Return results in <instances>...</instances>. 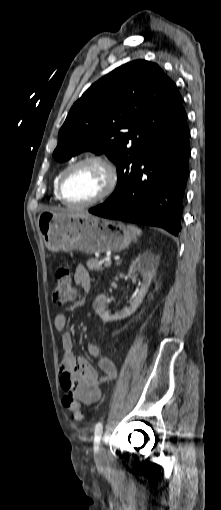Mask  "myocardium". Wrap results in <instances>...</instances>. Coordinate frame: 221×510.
<instances>
[{
    "instance_id": "myocardium-1",
    "label": "myocardium",
    "mask_w": 221,
    "mask_h": 510,
    "mask_svg": "<svg viewBox=\"0 0 221 510\" xmlns=\"http://www.w3.org/2000/svg\"><path fill=\"white\" fill-rule=\"evenodd\" d=\"M88 163H94L99 165L101 168L104 169L106 173V183L102 191L93 199L82 202V203H73L69 202L64 195V183L66 180V177L68 174L76 167L88 164ZM118 183V171L115 166V164L112 162L110 158L104 155L100 154H92L87 155L84 157L79 158L78 160L72 162L69 164L63 171L59 178L58 186H57V194L59 199L62 201L64 205L71 208H88L91 206H94L105 199H107L109 196L112 195V193L115 191L116 186Z\"/></svg>"
}]
</instances>
